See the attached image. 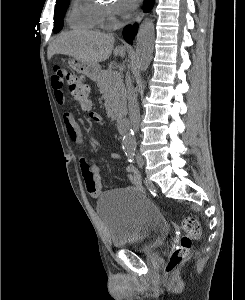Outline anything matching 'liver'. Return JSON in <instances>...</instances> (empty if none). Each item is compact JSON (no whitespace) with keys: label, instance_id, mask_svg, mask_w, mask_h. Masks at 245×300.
Here are the masks:
<instances>
[{"label":"liver","instance_id":"liver-1","mask_svg":"<svg viewBox=\"0 0 245 300\" xmlns=\"http://www.w3.org/2000/svg\"><path fill=\"white\" fill-rule=\"evenodd\" d=\"M114 36L94 31H71L62 33L48 48V59L55 54H64L81 61L98 64L108 59L113 51L115 56L122 48L114 49Z\"/></svg>","mask_w":245,"mask_h":300}]
</instances>
